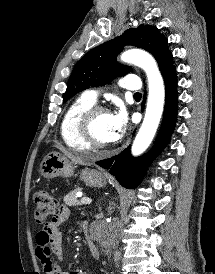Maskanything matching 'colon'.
I'll use <instances>...</instances> for the list:
<instances>
[{
	"mask_svg": "<svg viewBox=\"0 0 215 274\" xmlns=\"http://www.w3.org/2000/svg\"><path fill=\"white\" fill-rule=\"evenodd\" d=\"M35 211L34 217L37 223H46L56 210L57 201L46 189L38 190L34 195Z\"/></svg>",
	"mask_w": 215,
	"mask_h": 274,
	"instance_id": "5ec220e1",
	"label": "colon"
}]
</instances>
